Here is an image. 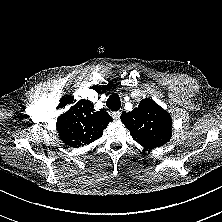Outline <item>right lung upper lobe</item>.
I'll list each match as a JSON object with an SVG mask.
<instances>
[{
    "instance_id": "right-lung-upper-lobe-1",
    "label": "right lung upper lobe",
    "mask_w": 222,
    "mask_h": 222,
    "mask_svg": "<svg viewBox=\"0 0 222 222\" xmlns=\"http://www.w3.org/2000/svg\"><path fill=\"white\" fill-rule=\"evenodd\" d=\"M111 121L106 111H95L93 103L83 99L58 117L56 126L61 140L70 147L78 148L99 139Z\"/></svg>"
}]
</instances>
